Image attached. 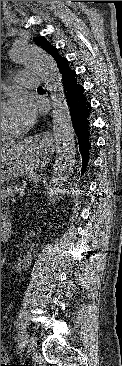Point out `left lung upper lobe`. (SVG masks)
<instances>
[{
	"mask_svg": "<svg viewBox=\"0 0 122 366\" xmlns=\"http://www.w3.org/2000/svg\"><path fill=\"white\" fill-rule=\"evenodd\" d=\"M37 46H40L43 48L47 53H49L55 61L61 58V56L58 54L57 49L54 48L52 45H50L47 40L40 36L34 39Z\"/></svg>",
	"mask_w": 122,
	"mask_h": 366,
	"instance_id": "left-lung-upper-lobe-1",
	"label": "left lung upper lobe"
}]
</instances>
